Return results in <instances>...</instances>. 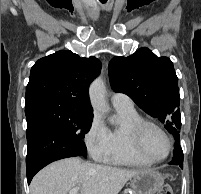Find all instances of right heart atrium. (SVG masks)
Wrapping results in <instances>:
<instances>
[{
  "instance_id": "d8ad5b80",
  "label": "right heart atrium",
  "mask_w": 201,
  "mask_h": 194,
  "mask_svg": "<svg viewBox=\"0 0 201 194\" xmlns=\"http://www.w3.org/2000/svg\"><path fill=\"white\" fill-rule=\"evenodd\" d=\"M84 139L90 154L101 158L107 149L108 137L106 126L99 115L92 117Z\"/></svg>"
}]
</instances>
